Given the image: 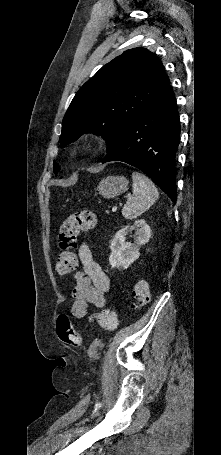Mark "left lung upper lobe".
<instances>
[{"instance_id": "left-lung-upper-lobe-1", "label": "left lung upper lobe", "mask_w": 221, "mask_h": 455, "mask_svg": "<svg viewBox=\"0 0 221 455\" xmlns=\"http://www.w3.org/2000/svg\"><path fill=\"white\" fill-rule=\"evenodd\" d=\"M168 84L162 62L153 53L144 48L125 51L76 93L62 122L60 146L89 131L103 136L108 151ZM53 169L55 173L60 170L56 162Z\"/></svg>"}]
</instances>
